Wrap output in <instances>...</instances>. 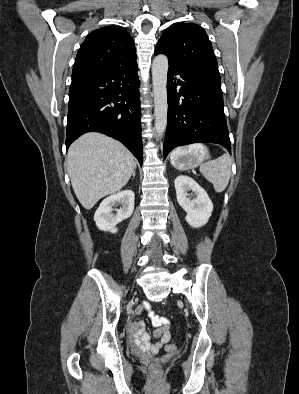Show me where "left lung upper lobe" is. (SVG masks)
Wrapping results in <instances>:
<instances>
[{
    "instance_id": "5c2ea615",
    "label": "left lung upper lobe",
    "mask_w": 299,
    "mask_h": 394,
    "mask_svg": "<svg viewBox=\"0 0 299 394\" xmlns=\"http://www.w3.org/2000/svg\"><path fill=\"white\" fill-rule=\"evenodd\" d=\"M157 54H165L169 64L178 67L218 68L205 30L193 23L178 22L169 26L158 41L155 49V55Z\"/></svg>"
}]
</instances>
